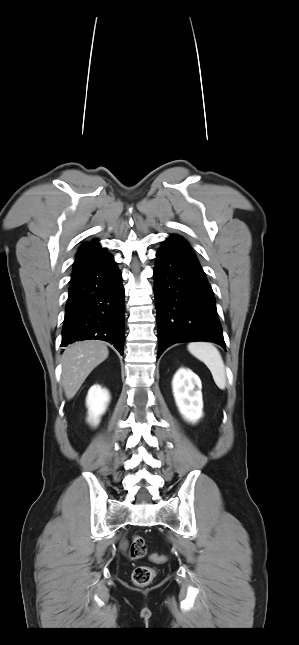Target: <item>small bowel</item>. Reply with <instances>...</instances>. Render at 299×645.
<instances>
[{
	"label": "small bowel",
	"mask_w": 299,
	"mask_h": 645,
	"mask_svg": "<svg viewBox=\"0 0 299 645\" xmlns=\"http://www.w3.org/2000/svg\"><path fill=\"white\" fill-rule=\"evenodd\" d=\"M127 546H128V543H127V541H125V540H124V541L122 542V544H121V548H122V550H123V551H126Z\"/></svg>",
	"instance_id": "small-bowel-1"
}]
</instances>
